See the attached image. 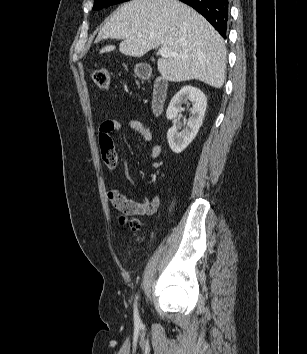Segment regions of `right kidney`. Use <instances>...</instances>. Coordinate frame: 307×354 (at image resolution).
Instances as JSON below:
<instances>
[{
  "instance_id": "obj_1",
  "label": "right kidney",
  "mask_w": 307,
  "mask_h": 354,
  "mask_svg": "<svg viewBox=\"0 0 307 354\" xmlns=\"http://www.w3.org/2000/svg\"><path fill=\"white\" fill-rule=\"evenodd\" d=\"M187 101L193 102L191 108V117L189 118L186 127L178 132L177 127L169 128L167 139L171 150L175 153H181L196 137L205 115L207 98L205 94L198 88L190 85L181 88L171 99L166 117L173 120L177 117L178 112L184 110L182 104Z\"/></svg>"
}]
</instances>
